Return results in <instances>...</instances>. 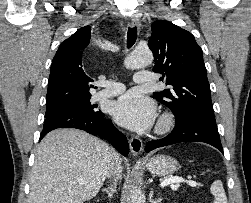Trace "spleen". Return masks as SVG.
Instances as JSON below:
<instances>
[{"instance_id":"spleen-1","label":"spleen","mask_w":251,"mask_h":203,"mask_svg":"<svg viewBox=\"0 0 251 203\" xmlns=\"http://www.w3.org/2000/svg\"><path fill=\"white\" fill-rule=\"evenodd\" d=\"M211 193L214 195V203H227V197L220 180H216L211 185Z\"/></svg>"}]
</instances>
